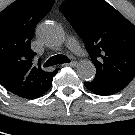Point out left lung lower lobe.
I'll use <instances>...</instances> for the list:
<instances>
[{
  "label": "left lung lower lobe",
  "instance_id": "1",
  "mask_svg": "<svg viewBox=\"0 0 135 135\" xmlns=\"http://www.w3.org/2000/svg\"><path fill=\"white\" fill-rule=\"evenodd\" d=\"M84 86L90 90L91 92L101 95V96H108L113 95L121 91V89H117L114 87L107 86L103 83H100L99 81L92 80L89 82H85Z\"/></svg>",
  "mask_w": 135,
  "mask_h": 135
}]
</instances>
